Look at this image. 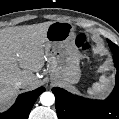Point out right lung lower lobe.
<instances>
[{
	"instance_id": "1",
	"label": "right lung lower lobe",
	"mask_w": 119,
	"mask_h": 119,
	"mask_svg": "<svg viewBox=\"0 0 119 119\" xmlns=\"http://www.w3.org/2000/svg\"><path fill=\"white\" fill-rule=\"evenodd\" d=\"M45 91L44 87L19 95L16 103L0 119H28L29 113L39 95Z\"/></svg>"
}]
</instances>
